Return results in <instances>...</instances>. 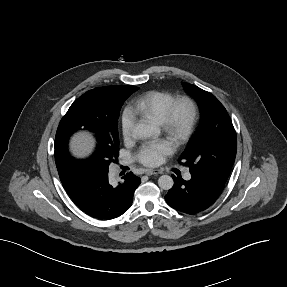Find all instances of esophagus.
<instances>
[{
	"instance_id": "1",
	"label": "esophagus",
	"mask_w": 287,
	"mask_h": 287,
	"mask_svg": "<svg viewBox=\"0 0 287 287\" xmlns=\"http://www.w3.org/2000/svg\"><path fill=\"white\" fill-rule=\"evenodd\" d=\"M145 174H146V175L162 174V171H160V170L147 169V170H145Z\"/></svg>"
}]
</instances>
